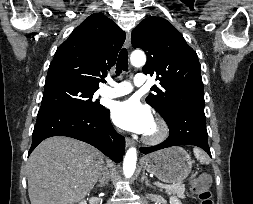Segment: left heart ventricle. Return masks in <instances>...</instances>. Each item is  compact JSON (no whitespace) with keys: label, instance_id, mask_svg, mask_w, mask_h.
Returning <instances> with one entry per match:
<instances>
[{"label":"left heart ventricle","instance_id":"left-heart-ventricle-1","mask_svg":"<svg viewBox=\"0 0 253 204\" xmlns=\"http://www.w3.org/2000/svg\"><path fill=\"white\" fill-rule=\"evenodd\" d=\"M156 132H157V128H156L155 124L152 123V125L150 126V128L148 129V131L145 134L154 135Z\"/></svg>","mask_w":253,"mask_h":204}]
</instances>
